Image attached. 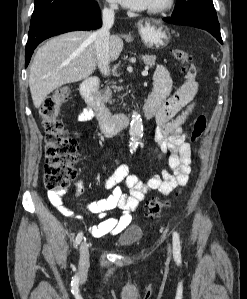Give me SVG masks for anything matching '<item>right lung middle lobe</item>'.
<instances>
[{
	"label": "right lung middle lobe",
	"mask_w": 247,
	"mask_h": 299,
	"mask_svg": "<svg viewBox=\"0 0 247 299\" xmlns=\"http://www.w3.org/2000/svg\"><path fill=\"white\" fill-rule=\"evenodd\" d=\"M95 2L94 0H35V7L31 17L30 26L43 19L63 11Z\"/></svg>",
	"instance_id": "obj_1"
}]
</instances>
